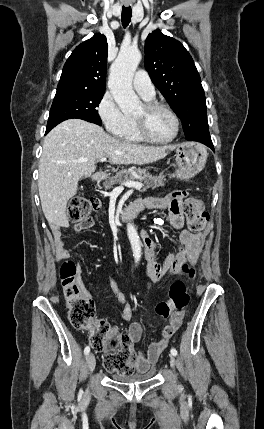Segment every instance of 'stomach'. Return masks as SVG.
<instances>
[{"instance_id": "obj_1", "label": "stomach", "mask_w": 264, "mask_h": 429, "mask_svg": "<svg viewBox=\"0 0 264 429\" xmlns=\"http://www.w3.org/2000/svg\"><path fill=\"white\" fill-rule=\"evenodd\" d=\"M207 150L199 143L185 142L176 146V177L189 180L198 174L205 166Z\"/></svg>"}]
</instances>
